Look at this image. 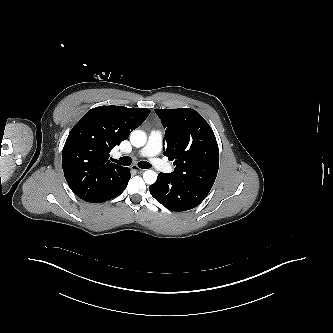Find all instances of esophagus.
I'll return each instance as SVG.
<instances>
[{
	"label": "esophagus",
	"mask_w": 333,
	"mask_h": 333,
	"mask_svg": "<svg viewBox=\"0 0 333 333\" xmlns=\"http://www.w3.org/2000/svg\"><path fill=\"white\" fill-rule=\"evenodd\" d=\"M131 169H132V170H135V171H137V172H140V173L144 171V169L139 168L137 165H133V166L131 167Z\"/></svg>",
	"instance_id": "esophagus-1"
}]
</instances>
